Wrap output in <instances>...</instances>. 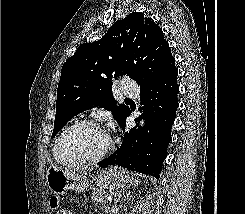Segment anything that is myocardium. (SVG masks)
Returning a JSON list of instances; mask_svg holds the SVG:
<instances>
[{
  "mask_svg": "<svg viewBox=\"0 0 245 214\" xmlns=\"http://www.w3.org/2000/svg\"><path fill=\"white\" fill-rule=\"evenodd\" d=\"M84 125L93 126L95 128L102 130L103 132H105L107 135V138H108V143H107L106 147L98 155L90 157V158L68 159V158L62 157L59 153V148H60V145H61L63 139L73 129H75L79 126H84ZM113 146H114V143H113L111 136L108 134V132L98 122L91 120V119H83V120H79V121L73 123L72 125L67 127L59 135V137L56 139V141L54 143L53 153H54L56 160L58 162L64 164V165H69V166L91 165V164H95V163H98L101 160H103L111 152V150L113 149Z\"/></svg>",
  "mask_w": 245,
  "mask_h": 214,
  "instance_id": "obj_1",
  "label": "myocardium"
}]
</instances>
